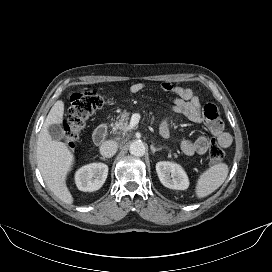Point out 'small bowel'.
Listing matches in <instances>:
<instances>
[{"label": "small bowel", "mask_w": 272, "mask_h": 272, "mask_svg": "<svg viewBox=\"0 0 272 272\" xmlns=\"http://www.w3.org/2000/svg\"><path fill=\"white\" fill-rule=\"evenodd\" d=\"M147 88L146 83L137 82L129 87V91L136 94ZM160 88L164 93L174 95L171 106L174 113L185 116L191 122L203 123L222 147H228L231 144V136L225 132L215 105L209 103L202 107L199 97L190 88L176 86L170 82H163ZM159 130L162 137L167 138L170 136L169 119L162 120ZM209 146L210 140L204 135L197 137L195 140L184 139L180 144L182 152L187 156L194 154L205 155Z\"/></svg>", "instance_id": "small-bowel-1"}]
</instances>
